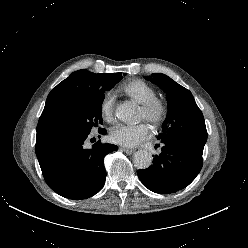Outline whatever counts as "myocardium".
Returning a JSON list of instances; mask_svg holds the SVG:
<instances>
[{
	"instance_id": "1",
	"label": "myocardium",
	"mask_w": 248,
	"mask_h": 248,
	"mask_svg": "<svg viewBox=\"0 0 248 248\" xmlns=\"http://www.w3.org/2000/svg\"><path fill=\"white\" fill-rule=\"evenodd\" d=\"M140 109L144 114V119L154 128L161 127L167 120L169 114L167 102L159 97H154L140 104Z\"/></svg>"
}]
</instances>
